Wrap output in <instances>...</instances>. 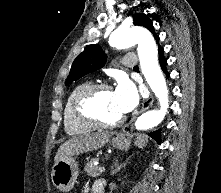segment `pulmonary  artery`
Instances as JSON below:
<instances>
[{
  "label": "pulmonary artery",
  "mask_w": 221,
  "mask_h": 193,
  "mask_svg": "<svg viewBox=\"0 0 221 193\" xmlns=\"http://www.w3.org/2000/svg\"><path fill=\"white\" fill-rule=\"evenodd\" d=\"M123 65L132 68L137 63V56L136 55H129L123 59Z\"/></svg>",
  "instance_id": "e3ab8cb5"
}]
</instances>
